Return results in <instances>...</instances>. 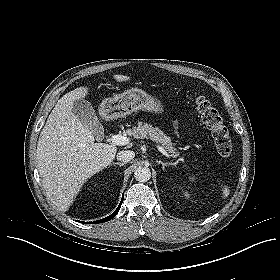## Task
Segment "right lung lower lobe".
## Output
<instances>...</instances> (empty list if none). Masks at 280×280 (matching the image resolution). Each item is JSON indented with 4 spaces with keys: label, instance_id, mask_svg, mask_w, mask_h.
<instances>
[{
    "label": "right lung lower lobe",
    "instance_id": "obj_1",
    "mask_svg": "<svg viewBox=\"0 0 280 280\" xmlns=\"http://www.w3.org/2000/svg\"><path fill=\"white\" fill-rule=\"evenodd\" d=\"M122 202H123V197H122V200H121L119 206L117 207V209L110 216H108L106 218H103L101 220H98V221H94V223H102V222L109 221L112 218H114L116 216V214L118 213V211H119V209L121 207Z\"/></svg>",
    "mask_w": 280,
    "mask_h": 280
}]
</instances>
